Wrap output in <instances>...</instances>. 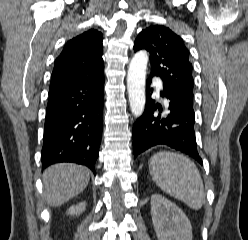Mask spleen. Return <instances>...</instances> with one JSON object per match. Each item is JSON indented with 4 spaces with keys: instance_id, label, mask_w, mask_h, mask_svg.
I'll return each mask as SVG.
<instances>
[{
    "instance_id": "1",
    "label": "spleen",
    "mask_w": 248,
    "mask_h": 240,
    "mask_svg": "<svg viewBox=\"0 0 248 240\" xmlns=\"http://www.w3.org/2000/svg\"><path fill=\"white\" fill-rule=\"evenodd\" d=\"M153 181L161 190L199 210L205 202V191L200 172L188 157L167 151L153 155L149 160Z\"/></svg>"
}]
</instances>
